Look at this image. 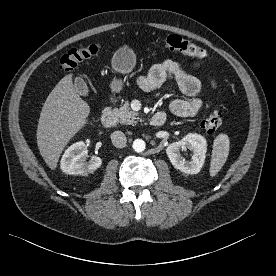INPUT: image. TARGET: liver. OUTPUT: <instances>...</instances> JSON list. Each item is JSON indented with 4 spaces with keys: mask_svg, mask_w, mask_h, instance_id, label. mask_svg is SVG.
Listing matches in <instances>:
<instances>
[{
    "mask_svg": "<svg viewBox=\"0 0 276 276\" xmlns=\"http://www.w3.org/2000/svg\"><path fill=\"white\" fill-rule=\"evenodd\" d=\"M89 105L82 100L72 82L63 77L48 95L37 126V145L47 166L54 170L70 139L86 124Z\"/></svg>",
    "mask_w": 276,
    "mask_h": 276,
    "instance_id": "obj_1",
    "label": "liver"
}]
</instances>
